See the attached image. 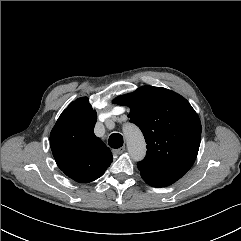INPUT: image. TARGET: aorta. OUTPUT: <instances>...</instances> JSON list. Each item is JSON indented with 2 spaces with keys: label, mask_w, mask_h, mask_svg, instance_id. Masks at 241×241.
Wrapping results in <instances>:
<instances>
[{
  "label": "aorta",
  "mask_w": 241,
  "mask_h": 241,
  "mask_svg": "<svg viewBox=\"0 0 241 241\" xmlns=\"http://www.w3.org/2000/svg\"><path fill=\"white\" fill-rule=\"evenodd\" d=\"M129 154L134 160H142L146 153V143L140 129L129 124L124 128Z\"/></svg>",
  "instance_id": "762f6f07"
}]
</instances>
